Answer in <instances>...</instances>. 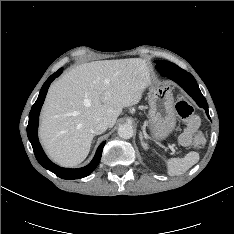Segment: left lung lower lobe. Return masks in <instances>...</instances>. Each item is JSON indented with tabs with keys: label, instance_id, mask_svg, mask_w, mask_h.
I'll list each match as a JSON object with an SVG mask.
<instances>
[{
	"label": "left lung lower lobe",
	"instance_id": "0a47b994",
	"mask_svg": "<svg viewBox=\"0 0 234 234\" xmlns=\"http://www.w3.org/2000/svg\"><path fill=\"white\" fill-rule=\"evenodd\" d=\"M164 76H167L168 78L182 86L183 89L196 101L198 106L205 109L206 114L209 117L208 104L206 102V99L202 95L196 83V80L190 73L186 72L183 69H180L179 71L174 73L165 72Z\"/></svg>",
	"mask_w": 234,
	"mask_h": 234
}]
</instances>
